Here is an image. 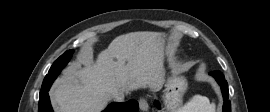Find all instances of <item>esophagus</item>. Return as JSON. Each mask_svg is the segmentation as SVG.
I'll return each mask as SVG.
<instances>
[{"label":"esophagus","instance_id":"esophagus-1","mask_svg":"<svg viewBox=\"0 0 270 112\" xmlns=\"http://www.w3.org/2000/svg\"><path fill=\"white\" fill-rule=\"evenodd\" d=\"M139 108H140V110H142V111H147V110L149 109V104H148L147 99L141 98V99L139 100Z\"/></svg>","mask_w":270,"mask_h":112}]
</instances>
